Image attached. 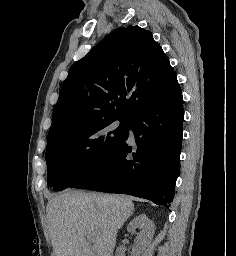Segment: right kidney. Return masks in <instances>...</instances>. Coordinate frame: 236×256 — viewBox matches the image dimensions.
I'll return each instance as SVG.
<instances>
[{"label": "right kidney", "instance_id": "obj_1", "mask_svg": "<svg viewBox=\"0 0 236 256\" xmlns=\"http://www.w3.org/2000/svg\"><path fill=\"white\" fill-rule=\"evenodd\" d=\"M137 228H140L141 232L138 234L137 242L134 244L132 256H145V252H148L151 246L155 226L153 222L147 218L146 214H140V216H136L127 226V230L131 232V234H135ZM123 252L124 248L120 246V248H118L119 256H123Z\"/></svg>", "mask_w": 236, "mask_h": 256}]
</instances>
